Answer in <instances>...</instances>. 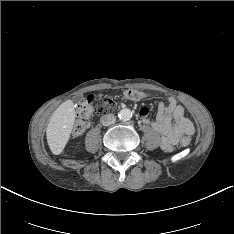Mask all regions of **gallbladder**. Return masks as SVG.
Listing matches in <instances>:
<instances>
[{
    "label": "gallbladder",
    "mask_w": 234,
    "mask_h": 234,
    "mask_svg": "<svg viewBox=\"0 0 234 234\" xmlns=\"http://www.w3.org/2000/svg\"><path fill=\"white\" fill-rule=\"evenodd\" d=\"M82 101V97L81 96H77L76 98H75V102L76 103H80Z\"/></svg>",
    "instance_id": "bac80fb5"
}]
</instances>
